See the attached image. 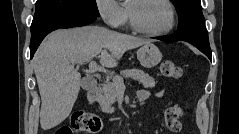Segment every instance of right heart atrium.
Returning <instances> with one entry per match:
<instances>
[{
	"label": "right heart atrium",
	"instance_id": "obj_1",
	"mask_svg": "<svg viewBox=\"0 0 239 134\" xmlns=\"http://www.w3.org/2000/svg\"><path fill=\"white\" fill-rule=\"evenodd\" d=\"M96 8L104 23L112 28L125 22V10L116 0H97Z\"/></svg>",
	"mask_w": 239,
	"mask_h": 134
}]
</instances>
